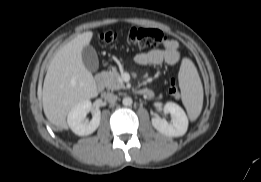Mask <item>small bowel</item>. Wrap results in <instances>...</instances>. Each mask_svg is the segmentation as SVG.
Here are the masks:
<instances>
[{"label":"small bowel","mask_w":261,"mask_h":182,"mask_svg":"<svg viewBox=\"0 0 261 182\" xmlns=\"http://www.w3.org/2000/svg\"><path fill=\"white\" fill-rule=\"evenodd\" d=\"M135 62L139 65H162L177 66L180 62L179 44L175 40H167L161 48L138 53Z\"/></svg>","instance_id":"c3829d8e"}]
</instances>
